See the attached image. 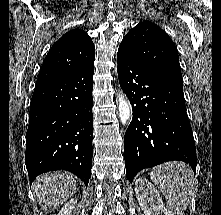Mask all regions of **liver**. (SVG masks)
Masks as SVG:
<instances>
[{"mask_svg": "<svg viewBox=\"0 0 221 215\" xmlns=\"http://www.w3.org/2000/svg\"><path fill=\"white\" fill-rule=\"evenodd\" d=\"M77 182L72 174L55 171L35 179L33 193L46 212L57 209L76 191Z\"/></svg>", "mask_w": 221, "mask_h": 215, "instance_id": "1", "label": "liver"}]
</instances>
